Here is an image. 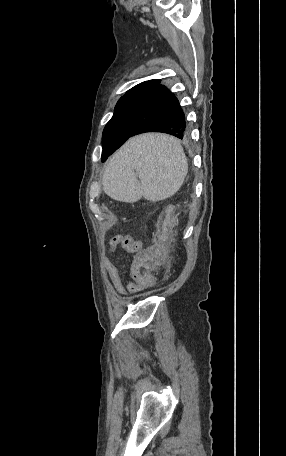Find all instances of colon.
I'll return each mask as SVG.
<instances>
[{
  "label": "colon",
  "instance_id": "obj_1",
  "mask_svg": "<svg viewBox=\"0 0 286 456\" xmlns=\"http://www.w3.org/2000/svg\"><path fill=\"white\" fill-rule=\"evenodd\" d=\"M167 236L160 222L156 240L152 246L137 248V255L131 266L130 275L139 289H145L156 283V270L161 269L167 259Z\"/></svg>",
  "mask_w": 286,
  "mask_h": 456
}]
</instances>
